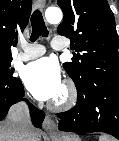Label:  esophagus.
Masks as SVG:
<instances>
[{"instance_id": "34e87169", "label": "esophagus", "mask_w": 119, "mask_h": 141, "mask_svg": "<svg viewBox=\"0 0 119 141\" xmlns=\"http://www.w3.org/2000/svg\"><path fill=\"white\" fill-rule=\"evenodd\" d=\"M45 5V0H34L33 1V8H42ZM56 122L55 120L52 118L51 115L47 114L45 116V119L43 121V128L47 131V132H54L56 130Z\"/></svg>"}]
</instances>
